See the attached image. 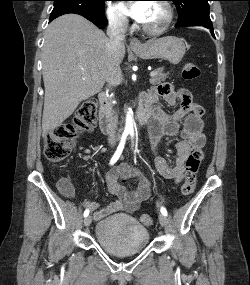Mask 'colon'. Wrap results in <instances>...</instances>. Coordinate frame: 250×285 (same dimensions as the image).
I'll list each match as a JSON object with an SVG mask.
<instances>
[{
	"label": "colon",
	"instance_id": "colon-1",
	"mask_svg": "<svg viewBox=\"0 0 250 285\" xmlns=\"http://www.w3.org/2000/svg\"><path fill=\"white\" fill-rule=\"evenodd\" d=\"M200 74L199 67L194 63H186L182 68V77L185 80H196ZM96 114V102L87 100L80 105L71 123L61 125L47 134L44 144L46 159L52 163H58L69 156L74 149L78 135L91 131L95 126ZM203 158L204 153L200 147L191 149L185 162V177L181 186L183 196H189L194 192ZM139 220L144 226H150L153 223L152 217L148 214H142Z\"/></svg>",
	"mask_w": 250,
	"mask_h": 285
}]
</instances>
